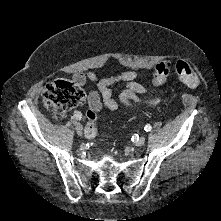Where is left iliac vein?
Wrapping results in <instances>:
<instances>
[{
  "mask_svg": "<svg viewBox=\"0 0 221 221\" xmlns=\"http://www.w3.org/2000/svg\"><path fill=\"white\" fill-rule=\"evenodd\" d=\"M145 143V138L144 137H140L136 142H135V145L138 146V147H141L143 146Z\"/></svg>",
  "mask_w": 221,
  "mask_h": 221,
  "instance_id": "1",
  "label": "left iliac vein"
}]
</instances>
